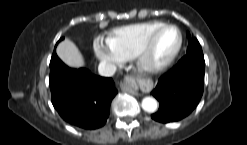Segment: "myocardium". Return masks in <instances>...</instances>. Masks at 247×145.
I'll return each mask as SVG.
<instances>
[{"label":"myocardium","mask_w":247,"mask_h":145,"mask_svg":"<svg viewBox=\"0 0 247 145\" xmlns=\"http://www.w3.org/2000/svg\"><path fill=\"white\" fill-rule=\"evenodd\" d=\"M167 28H173L177 31V34H178L177 47L172 53V55L167 60L159 64L150 65L147 62V57L151 50V47L157 35L162 30L167 29ZM182 45H183V35H182L181 30L176 25H173V24H162L161 26H159L158 28H156L149 34V36L146 38L141 48L138 50V52L133 57L136 69L141 74H144L147 76H153V75L164 72L175 62V60L177 59L182 49Z\"/></svg>","instance_id":"myocardium-1"}]
</instances>
